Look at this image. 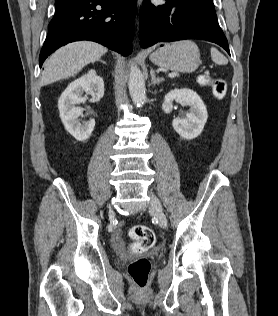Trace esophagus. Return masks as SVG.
I'll list each match as a JSON object with an SVG mask.
<instances>
[{
    "mask_svg": "<svg viewBox=\"0 0 278 316\" xmlns=\"http://www.w3.org/2000/svg\"><path fill=\"white\" fill-rule=\"evenodd\" d=\"M137 4H138V7L140 8V6L142 4V0H137Z\"/></svg>",
    "mask_w": 278,
    "mask_h": 316,
    "instance_id": "esophagus-1",
    "label": "esophagus"
}]
</instances>
